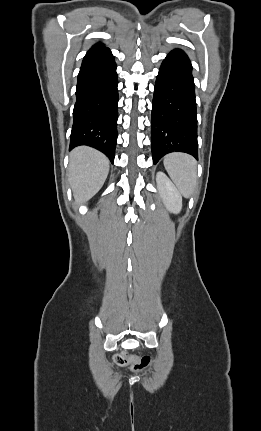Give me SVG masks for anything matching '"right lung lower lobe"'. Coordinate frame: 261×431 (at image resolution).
Listing matches in <instances>:
<instances>
[{
    "mask_svg": "<svg viewBox=\"0 0 261 431\" xmlns=\"http://www.w3.org/2000/svg\"><path fill=\"white\" fill-rule=\"evenodd\" d=\"M118 80L109 48L92 47L85 55L76 87L70 150L88 145L113 163L117 141Z\"/></svg>",
    "mask_w": 261,
    "mask_h": 431,
    "instance_id": "right-lung-lower-lobe-1",
    "label": "right lung lower lobe"
}]
</instances>
